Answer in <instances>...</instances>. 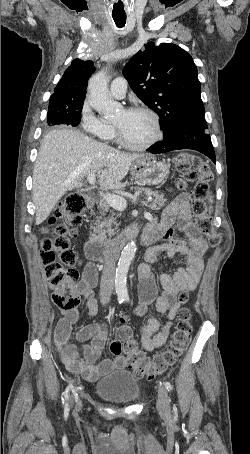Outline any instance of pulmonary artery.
<instances>
[{"label":"pulmonary artery","mask_w":250,"mask_h":454,"mask_svg":"<svg viewBox=\"0 0 250 454\" xmlns=\"http://www.w3.org/2000/svg\"><path fill=\"white\" fill-rule=\"evenodd\" d=\"M126 90L127 82L123 77H118L111 82L110 92L115 98H123Z\"/></svg>","instance_id":"obj_1"}]
</instances>
